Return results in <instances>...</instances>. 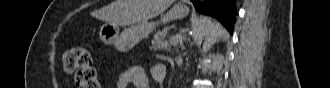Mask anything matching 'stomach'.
<instances>
[{
    "label": "stomach",
    "mask_w": 330,
    "mask_h": 88,
    "mask_svg": "<svg viewBox=\"0 0 330 88\" xmlns=\"http://www.w3.org/2000/svg\"><path fill=\"white\" fill-rule=\"evenodd\" d=\"M189 13L185 5L177 4L173 6L166 14L161 15L160 21L141 22L134 24L119 34L118 25L105 23L100 27V40L107 44H113L119 51H127L135 46L142 39L146 38L157 25L177 19H183Z\"/></svg>",
    "instance_id": "stomach-1"
}]
</instances>
